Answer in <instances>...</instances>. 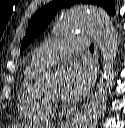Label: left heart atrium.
<instances>
[{
    "label": "left heart atrium",
    "instance_id": "1",
    "mask_svg": "<svg viewBox=\"0 0 125 128\" xmlns=\"http://www.w3.org/2000/svg\"><path fill=\"white\" fill-rule=\"evenodd\" d=\"M93 73L84 63H68L60 73L59 96L68 103L79 101L91 87Z\"/></svg>",
    "mask_w": 125,
    "mask_h": 128
}]
</instances>
